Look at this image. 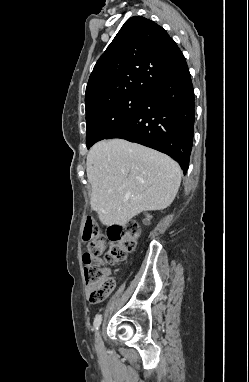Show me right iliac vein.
<instances>
[{"mask_svg":"<svg viewBox=\"0 0 249 382\" xmlns=\"http://www.w3.org/2000/svg\"><path fill=\"white\" fill-rule=\"evenodd\" d=\"M95 347L97 350H101L103 348V342H102L100 331H97L95 333Z\"/></svg>","mask_w":249,"mask_h":382,"instance_id":"right-iliac-vein-1","label":"right iliac vein"}]
</instances>
